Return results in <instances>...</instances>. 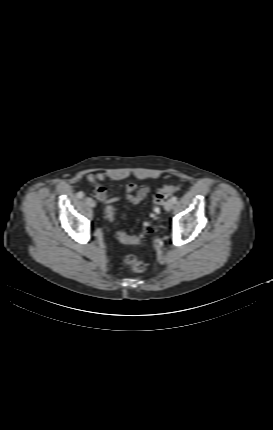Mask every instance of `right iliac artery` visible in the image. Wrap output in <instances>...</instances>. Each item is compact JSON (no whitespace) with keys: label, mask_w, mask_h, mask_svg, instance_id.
<instances>
[{"label":"right iliac artery","mask_w":273,"mask_h":430,"mask_svg":"<svg viewBox=\"0 0 273 430\" xmlns=\"http://www.w3.org/2000/svg\"><path fill=\"white\" fill-rule=\"evenodd\" d=\"M85 196L84 192L80 191L77 193L78 198H83Z\"/></svg>","instance_id":"82829eb1"}]
</instances>
